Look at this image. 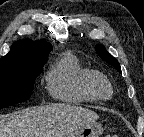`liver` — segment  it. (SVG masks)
I'll return each instance as SVG.
<instances>
[{
	"label": "liver",
	"mask_w": 144,
	"mask_h": 137,
	"mask_svg": "<svg viewBox=\"0 0 144 137\" xmlns=\"http://www.w3.org/2000/svg\"><path fill=\"white\" fill-rule=\"evenodd\" d=\"M98 118L94 111L70 104L29 107L0 116V137H68Z\"/></svg>",
	"instance_id": "6515ba94"
}]
</instances>
